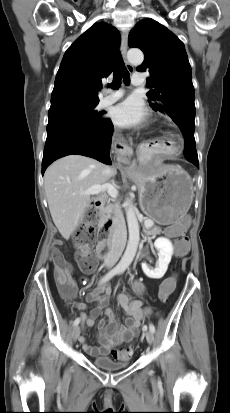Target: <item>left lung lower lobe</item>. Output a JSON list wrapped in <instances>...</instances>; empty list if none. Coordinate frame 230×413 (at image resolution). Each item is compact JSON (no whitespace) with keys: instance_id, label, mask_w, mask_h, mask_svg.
Listing matches in <instances>:
<instances>
[{"instance_id":"0a47b994","label":"left lung lower lobe","mask_w":230,"mask_h":413,"mask_svg":"<svg viewBox=\"0 0 230 413\" xmlns=\"http://www.w3.org/2000/svg\"><path fill=\"white\" fill-rule=\"evenodd\" d=\"M183 136L185 139L184 156L189 162L193 163L197 168H199L198 155H197V151L195 147L194 133L185 131L183 133Z\"/></svg>"}]
</instances>
